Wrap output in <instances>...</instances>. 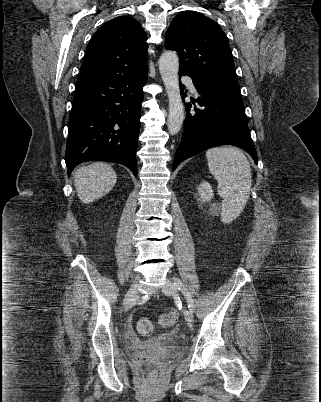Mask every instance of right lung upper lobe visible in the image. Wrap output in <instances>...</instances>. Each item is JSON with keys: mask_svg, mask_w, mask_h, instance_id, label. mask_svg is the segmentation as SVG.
<instances>
[{"mask_svg": "<svg viewBox=\"0 0 321 402\" xmlns=\"http://www.w3.org/2000/svg\"><path fill=\"white\" fill-rule=\"evenodd\" d=\"M147 36L137 20L116 17L93 35L77 83L147 71Z\"/></svg>", "mask_w": 321, "mask_h": 402, "instance_id": "1", "label": "right lung upper lobe"}]
</instances>
